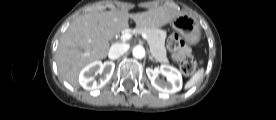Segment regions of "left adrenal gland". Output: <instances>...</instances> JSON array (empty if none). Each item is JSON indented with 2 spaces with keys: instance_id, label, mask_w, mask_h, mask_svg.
Instances as JSON below:
<instances>
[{
  "instance_id": "1",
  "label": "left adrenal gland",
  "mask_w": 276,
  "mask_h": 120,
  "mask_svg": "<svg viewBox=\"0 0 276 120\" xmlns=\"http://www.w3.org/2000/svg\"><path fill=\"white\" fill-rule=\"evenodd\" d=\"M149 60L154 61L153 57L149 54Z\"/></svg>"
}]
</instances>
